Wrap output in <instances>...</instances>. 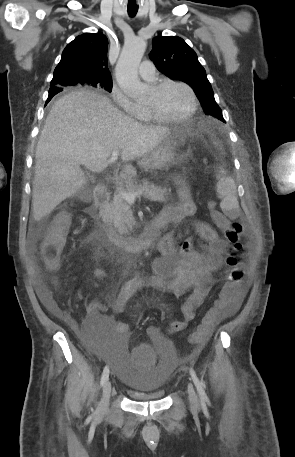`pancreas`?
<instances>
[{
    "mask_svg": "<svg viewBox=\"0 0 295 457\" xmlns=\"http://www.w3.org/2000/svg\"><path fill=\"white\" fill-rule=\"evenodd\" d=\"M122 191L126 193L141 192L140 195L144 198L157 202H165L171 192L147 181L136 184L128 183ZM107 219L120 235L127 236L133 230L135 219L132 210L119 192L114 195L113 201L110 203Z\"/></svg>",
    "mask_w": 295,
    "mask_h": 457,
    "instance_id": "obj_1",
    "label": "pancreas"
}]
</instances>
